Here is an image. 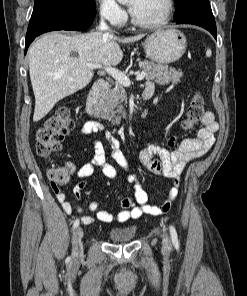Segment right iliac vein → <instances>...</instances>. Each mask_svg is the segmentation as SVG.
Returning <instances> with one entry per match:
<instances>
[{"instance_id": "1", "label": "right iliac vein", "mask_w": 247, "mask_h": 296, "mask_svg": "<svg viewBox=\"0 0 247 296\" xmlns=\"http://www.w3.org/2000/svg\"><path fill=\"white\" fill-rule=\"evenodd\" d=\"M82 238L83 230L78 227L74 230L72 236V254L75 259H79L83 256Z\"/></svg>"}]
</instances>
